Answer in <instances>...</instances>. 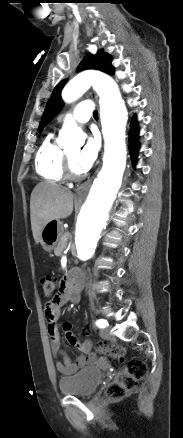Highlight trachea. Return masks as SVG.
<instances>
[{
	"label": "trachea",
	"instance_id": "obj_1",
	"mask_svg": "<svg viewBox=\"0 0 183 438\" xmlns=\"http://www.w3.org/2000/svg\"><path fill=\"white\" fill-rule=\"evenodd\" d=\"M93 117H94L95 119H98V112H97V111H94V112H93Z\"/></svg>",
	"mask_w": 183,
	"mask_h": 438
}]
</instances>
